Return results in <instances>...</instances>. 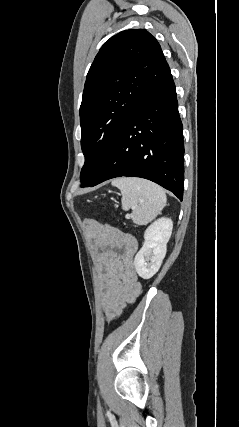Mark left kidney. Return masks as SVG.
I'll return each mask as SVG.
<instances>
[{
	"mask_svg": "<svg viewBox=\"0 0 239 427\" xmlns=\"http://www.w3.org/2000/svg\"><path fill=\"white\" fill-rule=\"evenodd\" d=\"M172 229V220L165 217L156 220L146 229L145 241L134 259L135 269L143 279L151 278L159 270L166 255Z\"/></svg>",
	"mask_w": 239,
	"mask_h": 427,
	"instance_id": "5707ae66",
	"label": "left kidney"
}]
</instances>
